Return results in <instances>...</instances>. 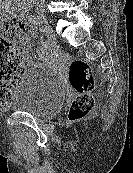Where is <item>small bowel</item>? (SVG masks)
Instances as JSON below:
<instances>
[{
  "instance_id": "obj_1",
  "label": "small bowel",
  "mask_w": 133,
  "mask_h": 173,
  "mask_svg": "<svg viewBox=\"0 0 133 173\" xmlns=\"http://www.w3.org/2000/svg\"><path fill=\"white\" fill-rule=\"evenodd\" d=\"M7 7L9 6V3L7 2ZM30 24V30H29V36H24L21 39V50L25 53H27L30 50V37H34L36 35V31L38 29V23L34 19H29L28 20ZM41 57L43 60H56V61H61L63 60V57L59 54L58 51H43L41 54Z\"/></svg>"
}]
</instances>
